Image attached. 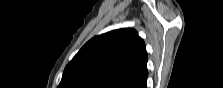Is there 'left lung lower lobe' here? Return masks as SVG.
<instances>
[{
    "label": "left lung lower lobe",
    "instance_id": "0a47b994",
    "mask_svg": "<svg viewBox=\"0 0 223 88\" xmlns=\"http://www.w3.org/2000/svg\"><path fill=\"white\" fill-rule=\"evenodd\" d=\"M146 80L144 82H142L140 85H138L137 88H147V86H146Z\"/></svg>",
    "mask_w": 223,
    "mask_h": 88
}]
</instances>
